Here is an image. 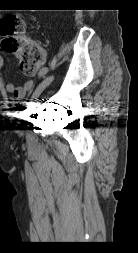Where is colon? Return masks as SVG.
Listing matches in <instances>:
<instances>
[{
	"mask_svg": "<svg viewBox=\"0 0 138 253\" xmlns=\"http://www.w3.org/2000/svg\"><path fill=\"white\" fill-rule=\"evenodd\" d=\"M0 34L3 37L2 49L17 55L23 73L33 75L44 64V47L26 36L24 22L19 17H3L0 21Z\"/></svg>",
	"mask_w": 138,
	"mask_h": 253,
	"instance_id": "obj_1",
	"label": "colon"
}]
</instances>
